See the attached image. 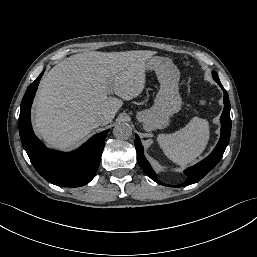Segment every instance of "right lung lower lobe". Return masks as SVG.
<instances>
[{
  "mask_svg": "<svg viewBox=\"0 0 257 257\" xmlns=\"http://www.w3.org/2000/svg\"><path fill=\"white\" fill-rule=\"evenodd\" d=\"M43 73L29 85L22 99L19 115L22 145L34 168L45 180L60 187L83 186L95 176L109 129L94 135L70 153L46 148L34 135L30 121L31 105Z\"/></svg>",
  "mask_w": 257,
  "mask_h": 257,
  "instance_id": "obj_1",
  "label": "right lung lower lobe"
}]
</instances>
